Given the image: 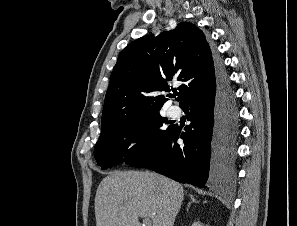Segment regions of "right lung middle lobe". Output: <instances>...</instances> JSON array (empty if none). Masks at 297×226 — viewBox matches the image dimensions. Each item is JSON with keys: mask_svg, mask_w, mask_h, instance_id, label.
<instances>
[{"mask_svg": "<svg viewBox=\"0 0 297 226\" xmlns=\"http://www.w3.org/2000/svg\"><path fill=\"white\" fill-rule=\"evenodd\" d=\"M159 110L129 117L117 124L102 126L95 145L98 165L106 169L144 157L157 147L173 128Z\"/></svg>", "mask_w": 297, "mask_h": 226, "instance_id": "dd1d6c3e", "label": "right lung middle lobe"}]
</instances>
